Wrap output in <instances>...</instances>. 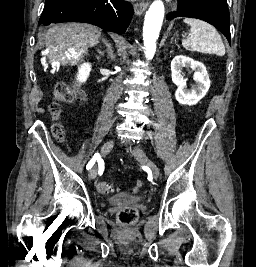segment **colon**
<instances>
[{
	"mask_svg": "<svg viewBox=\"0 0 256 267\" xmlns=\"http://www.w3.org/2000/svg\"><path fill=\"white\" fill-rule=\"evenodd\" d=\"M56 93V101L52 103L49 107V112L53 117H59L62 113L61 104L70 103L74 100H79L83 98V93L81 92L79 87L73 86L71 84L60 85L55 89ZM54 134L57 138L61 139L64 136L63 130L59 126H55L53 128ZM142 183L139 181L137 188H140ZM97 189L101 193H111L114 190L112 184L108 182H100L97 185ZM138 216V212L133 207H126L121 209L118 212V218L121 228L129 227V224L135 223V220Z\"/></svg>",
	"mask_w": 256,
	"mask_h": 267,
	"instance_id": "colon-1",
	"label": "colon"
}]
</instances>
